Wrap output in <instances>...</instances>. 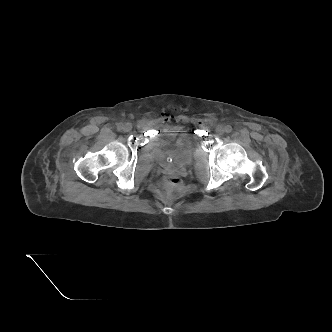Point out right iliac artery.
I'll return each mask as SVG.
<instances>
[{"label": "right iliac artery", "mask_w": 332, "mask_h": 332, "mask_svg": "<svg viewBox=\"0 0 332 332\" xmlns=\"http://www.w3.org/2000/svg\"><path fill=\"white\" fill-rule=\"evenodd\" d=\"M122 127H123V124H122V123H119V124L117 125V129H118V130H122Z\"/></svg>", "instance_id": "82829eb1"}]
</instances>
